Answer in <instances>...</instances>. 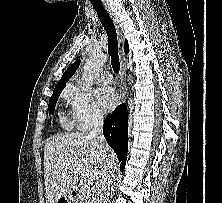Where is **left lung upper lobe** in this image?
I'll use <instances>...</instances> for the list:
<instances>
[{"instance_id":"5c2ea615","label":"left lung upper lobe","mask_w":222,"mask_h":203,"mask_svg":"<svg viewBox=\"0 0 222 203\" xmlns=\"http://www.w3.org/2000/svg\"><path fill=\"white\" fill-rule=\"evenodd\" d=\"M128 51H129L128 44H127V41H125V52L127 53Z\"/></svg>"}]
</instances>
